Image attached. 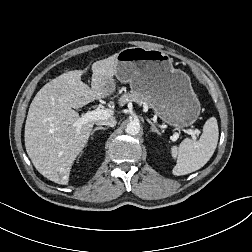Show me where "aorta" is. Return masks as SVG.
I'll return each instance as SVG.
<instances>
[{
    "label": "aorta",
    "mask_w": 252,
    "mask_h": 252,
    "mask_svg": "<svg viewBox=\"0 0 252 252\" xmlns=\"http://www.w3.org/2000/svg\"><path fill=\"white\" fill-rule=\"evenodd\" d=\"M128 135H137L140 132V124L138 122H129L125 128Z\"/></svg>",
    "instance_id": "1"
}]
</instances>
